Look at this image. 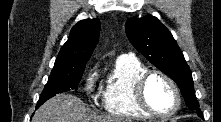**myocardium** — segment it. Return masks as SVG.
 I'll list each match as a JSON object with an SVG mask.
<instances>
[{
  "instance_id": "1",
  "label": "myocardium",
  "mask_w": 221,
  "mask_h": 122,
  "mask_svg": "<svg viewBox=\"0 0 221 122\" xmlns=\"http://www.w3.org/2000/svg\"><path fill=\"white\" fill-rule=\"evenodd\" d=\"M153 76H159L162 79H164L172 88L173 93L175 95V106L172 111L168 113H159L155 111L148 103L147 97H146V86L148 81L153 77ZM134 94H135V99L139 107L149 114L152 117L156 118H170L174 116L180 109L181 107V94L179 91V88L176 84V82L166 73L160 70H147L143 74H141L134 85Z\"/></svg>"
}]
</instances>
